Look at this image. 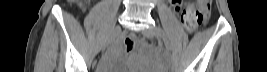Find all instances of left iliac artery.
Listing matches in <instances>:
<instances>
[{
    "label": "left iliac artery",
    "mask_w": 267,
    "mask_h": 72,
    "mask_svg": "<svg viewBox=\"0 0 267 72\" xmlns=\"http://www.w3.org/2000/svg\"><path fill=\"white\" fill-rule=\"evenodd\" d=\"M157 29H158V34L161 36L162 41H163V54L166 58L170 59L171 58V50H170L169 42L166 39V36H165L163 30L160 27H157Z\"/></svg>",
    "instance_id": "44dca946"
}]
</instances>
